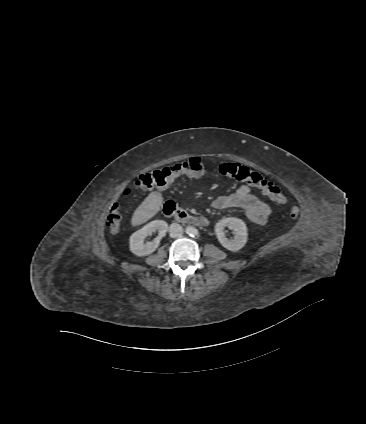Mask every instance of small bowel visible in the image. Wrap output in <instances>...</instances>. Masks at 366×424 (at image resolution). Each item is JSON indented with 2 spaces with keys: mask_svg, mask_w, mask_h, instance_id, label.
<instances>
[{
  "mask_svg": "<svg viewBox=\"0 0 366 424\" xmlns=\"http://www.w3.org/2000/svg\"><path fill=\"white\" fill-rule=\"evenodd\" d=\"M213 207L219 210L242 209L249 221L258 227L267 224L270 214L269 205L253 195L248 185H242L233 193L217 197L213 202Z\"/></svg>",
  "mask_w": 366,
  "mask_h": 424,
  "instance_id": "obj_1",
  "label": "small bowel"
}]
</instances>
